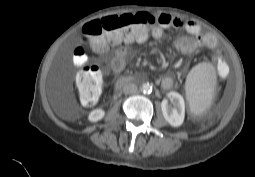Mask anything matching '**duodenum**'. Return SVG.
<instances>
[{"mask_svg":"<svg viewBox=\"0 0 255 177\" xmlns=\"http://www.w3.org/2000/svg\"><path fill=\"white\" fill-rule=\"evenodd\" d=\"M130 81H131L130 77H121L116 82V88L120 89L123 85H125L126 83H128Z\"/></svg>","mask_w":255,"mask_h":177,"instance_id":"1","label":"duodenum"}]
</instances>
